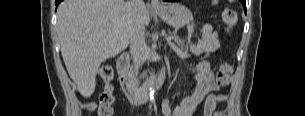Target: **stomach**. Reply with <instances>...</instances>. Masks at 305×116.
<instances>
[{"label": "stomach", "mask_w": 305, "mask_h": 116, "mask_svg": "<svg viewBox=\"0 0 305 116\" xmlns=\"http://www.w3.org/2000/svg\"><path fill=\"white\" fill-rule=\"evenodd\" d=\"M155 12L161 19L176 29L188 25L192 19L191 11L180 3H168L155 10Z\"/></svg>", "instance_id": "stomach-1"}]
</instances>
